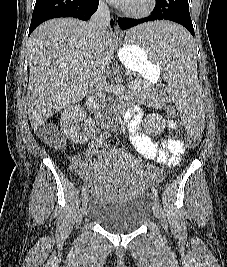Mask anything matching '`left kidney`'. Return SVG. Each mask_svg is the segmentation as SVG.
I'll return each instance as SVG.
<instances>
[{"mask_svg":"<svg viewBox=\"0 0 227 267\" xmlns=\"http://www.w3.org/2000/svg\"><path fill=\"white\" fill-rule=\"evenodd\" d=\"M145 122L149 128V132L152 134L160 133L165 127V120L157 113L149 114Z\"/></svg>","mask_w":227,"mask_h":267,"instance_id":"5707ae66","label":"left kidney"}]
</instances>
